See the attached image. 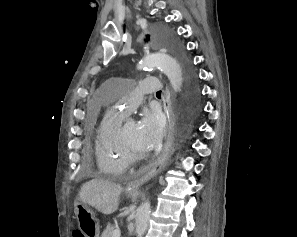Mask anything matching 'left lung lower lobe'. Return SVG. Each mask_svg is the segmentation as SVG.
I'll return each mask as SVG.
<instances>
[{
	"instance_id": "1",
	"label": "left lung lower lobe",
	"mask_w": 297,
	"mask_h": 237,
	"mask_svg": "<svg viewBox=\"0 0 297 237\" xmlns=\"http://www.w3.org/2000/svg\"><path fill=\"white\" fill-rule=\"evenodd\" d=\"M196 110L195 101L192 98H187L183 106V115L185 118L189 117Z\"/></svg>"
}]
</instances>
